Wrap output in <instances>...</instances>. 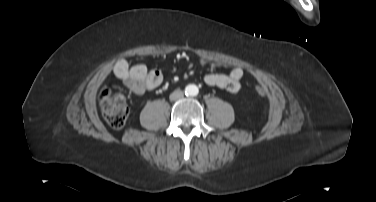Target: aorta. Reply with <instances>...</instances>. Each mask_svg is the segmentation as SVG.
Listing matches in <instances>:
<instances>
[{
	"label": "aorta",
	"instance_id": "aorta-1",
	"mask_svg": "<svg viewBox=\"0 0 376 202\" xmlns=\"http://www.w3.org/2000/svg\"><path fill=\"white\" fill-rule=\"evenodd\" d=\"M185 92L189 96H196L199 92V89L196 85L190 84L186 87Z\"/></svg>",
	"mask_w": 376,
	"mask_h": 202
}]
</instances>
